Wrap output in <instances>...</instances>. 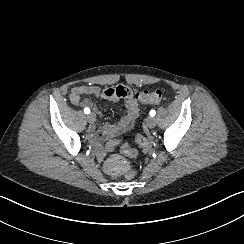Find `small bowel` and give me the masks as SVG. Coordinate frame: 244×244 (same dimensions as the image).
<instances>
[{
	"mask_svg": "<svg viewBox=\"0 0 244 244\" xmlns=\"http://www.w3.org/2000/svg\"><path fill=\"white\" fill-rule=\"evenodd\" d=\"M85 94H92L98 98H104V93L99 86L91 85V86H76L74 87L69 94V101L71 104L80 107H91L94 109V112L98 114L94 104L90 100H84L82 98ZM125 109L126 112L124 116L115 124H107L97 135V140L99 142H103L109 140V143H113L114 145L117 143L115 138L122 133L129 131L137 117L139 116V106L134 97L129 96L125 100Z\"/></svg>",
	"mask_w": 244,
	"mask_h": 244,
	"instance_id": "c3829d8e",
	"label": "small bowel"
}]
</instances>
